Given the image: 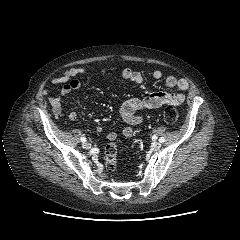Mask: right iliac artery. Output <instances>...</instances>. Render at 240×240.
I'll use <instances>...</instances> for the list:
<instances>
[{"instance_id": "right-iliac-artery-1", "label": "right iliac artery", "mask_w": 240, "mask_h": 240, "mask_svg": "<svg viewBox=\"0 0 240 240\" xmlns=\"http://www.w3.org/2000/svg\"><path fill=\"white\" fill-rule=\"evenodd\" d=\"M81 141L82 142H86V138L85 137H81Z\"/></svg>"}]
</instances>
